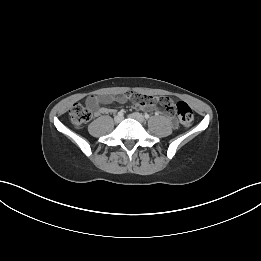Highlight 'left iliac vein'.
Listing matches in <instances>:
<instances>
[{
  "mask_svg": "<svg viewBox=\"0 0 261 261\" xmlns=\"http://www.w3.org/2000/svg\"><path fill=\"white\" fill-rule=\"evenodd\" d=\"M129 117L132 118V119L137 120L140 123H144L145 122V119H144L143 115L140 114V113H137V112H134V113L130 114Z\"/></svg>",
  "mask_w": 261,
  "mask_h": 261,
  "instance_id": "4c4485c4",
  "label": "left iliac vein"
}]
</instances>
